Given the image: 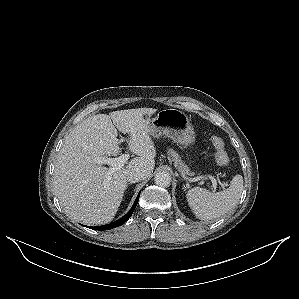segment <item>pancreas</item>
I'll return each instance as SVG.
<instances>
[{
    "mask_svg": "<svg viewBox=\"0 0 299 299\" xmlns=\"http://www.w3.org/2000/svg\"><path fill=\"white\" fill-rule=\"evenodd\" d=\"M168 157L171 161L174 162V166L178 169L182 174L192 175L193 173L190 171L189 167L185 164V162L181 159L180 155L172 150H168Z\"/></svg>",
    "mask_w": 299,
    "mask_h": 299,
    "instance_id": "obj_1",
    "label": "pancreas"
}]
</instances>
